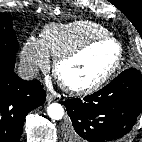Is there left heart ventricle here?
<instances>
[{
	"mask_svg": "<svg viewBox=\"0 0 142 142\" xmlns=\"http://www.w3.org/2000/svg\"><path fill=\"white\" fill-rule=\"evenodd\" d=\"M117 47L112 42L95 45L61 67L63 79L74 86L88 85L100 78L113 64Z\"/></svg>",
	"mask_w": 142,
	"mask_h": 142,
	"instance_id": "b2bd125f",
	"label": "left heart ventricle"
}]
</instances>
